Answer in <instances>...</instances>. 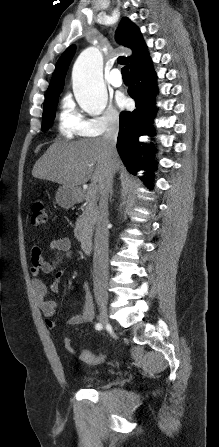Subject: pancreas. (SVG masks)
<instances>
[{"mask_svg": "<svg viewBox=\"0 0 219 447\" xmlns=\"http://www.w3.org/2000/svg\"><path fill=\"white\" fill-rule=\"evenodd\" d=\"M84 199L87 205L77 219L74 229L75 237L81 242L91 238L98 217L97 196H91L88 193H85Z\"/></svg>", "mask_w": 219, "mask_h": 447, "instance_id": "cf45deb5", "label": "pancreas"}]
</instances>
